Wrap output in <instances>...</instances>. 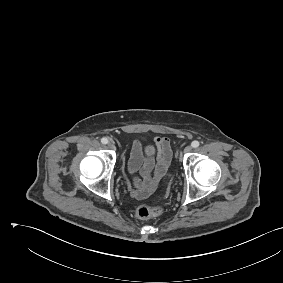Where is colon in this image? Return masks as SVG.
<instances>
[{
  "mask_svg": "<svg viewBox=\"0 0 283 283\" xmlns=\"http://www.w3.org/2000/svg\"><path fill=\"white\" fill-rule=\"evenodd\" d=\"M162 213V208L147 204L140 205L136 210V215L140 219H148Z\"/></svg>",
  "mask_w": 283,
  "mask_h": 283,
  "instance_id": "5ec220e1",
  "label": "colon"
}]
</instances>
